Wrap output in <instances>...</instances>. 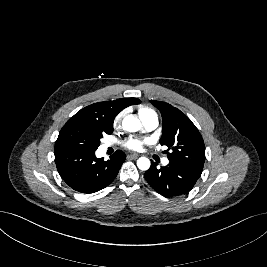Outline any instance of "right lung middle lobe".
I'll return each instance as SVG.
<instances>
[{"label": "right lung middle lobe", "mask_w": 267, "mask_h": 267, "mask_svg": "<svg viewBox=\"0 0 267 267\" xmlns=\"http://www.w3.org/2000/svg\"><path fill=\"white\" fill-rule=\"evenodd\" d=\"M113 127L98 123H66L55 143V152L59 151H95L104 134H111Z\"/></svg>", "instance_id": "dd1d6c3e"}]
</instances>
